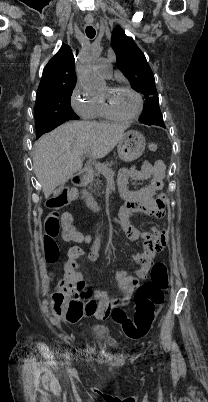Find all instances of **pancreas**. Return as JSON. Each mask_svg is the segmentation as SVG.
I'll list each match as a JSON object with an SVG mask.
<instances>
[{"label": "pancreas", "mask_w": 208, "mask_h": 402, "mask_svg": "<svg viewBox=\"0 0 208 402\" xmlns=\"http://www.w3.org/2000/svg\"><path fill=\"white\" fill-rule=\"evenodd\" d=\"M113 164L114 162H107V164H100L99 168H96V170H85V172H87L88 176L91 178V180H89V190H92L91 186H93V188H97L100 174H104V172H107V170H112L111 166H113ZM81 194H84L83 198H87L88 192L87 190H82Z\"/></svg>", "instance_id": "obj_1"}]
</instances>
